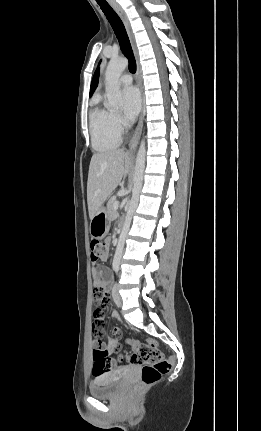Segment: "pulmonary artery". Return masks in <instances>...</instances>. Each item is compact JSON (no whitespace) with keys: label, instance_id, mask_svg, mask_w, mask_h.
<instances>
[{"label":"pulmonary artery","instance_id":"obj_1","mask_svg":"<svg viewBox=\"0 0 261 431\" xmlns=\"http://www.w3.org/2000/svg\"><path fill=\"white\" fill-rule=\"evenodd\" d=\"M120 84L130 85L132 83V76L130 74H123L119 79Z\"/></svg>","mask_w":261,"mask_h":431}]
</instances>
